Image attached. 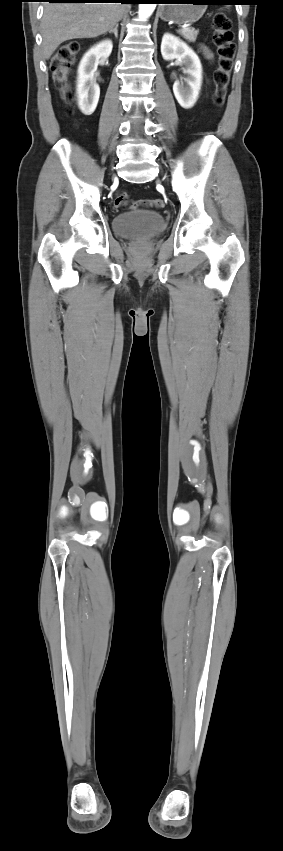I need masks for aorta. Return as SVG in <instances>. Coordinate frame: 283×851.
Masks as SVG:
<instances>
[{
    "label": "aorta",
    "instance_id": "obj_1",
    "mask_svg": "<svg viewBox=\"0 0 283 851\" xmlns=\"http://www.w3.org/2000/svg\"><path fill=\"white\" fill-rule=\"evenodd\" d=\"M156 4L154 3H142L139 4V16L141 19L148 18L154 11Z\"/></svg>",
    "mask_w": 283,
    "mask_h": 851
}]
</instances>
